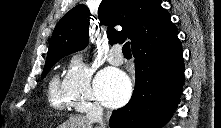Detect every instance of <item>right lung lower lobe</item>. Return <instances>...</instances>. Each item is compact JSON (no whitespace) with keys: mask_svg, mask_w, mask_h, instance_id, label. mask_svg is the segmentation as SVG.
Masks as SVG:
<instances>
[{"mask_svg":"<svg viewBox=\"0 0 221 128\" xmlns=\"http://www.w3.org/2000/svg\"><path fill=\"white\" fill-rule=\"evenodd\" d=\"M136 81L128 104L114 110L111 128H160L176 110L183 88L184 60L176 36L159 48H136Z\"/></svg>","mask_w":221,"mask_h":128,"instance_id":"1","label":"right lung lower lobe"}]
</instances>
